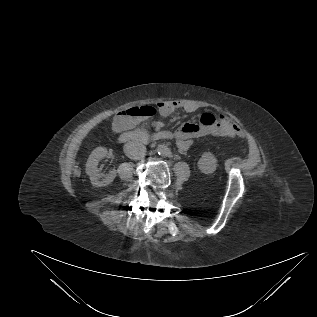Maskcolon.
<instances>
[{"label": "colon", "mask_w": 317, "mask_h": 317, "mask_svg": "<svg viewBox=\"0 0 317 317\" xmlns=\"http://www.w3.org/2000/svg\"><path fill=\"white\" fill-rule=\"evenodd\" d=\"M157 113V108L153 105L136 106L127 109L123 114L131 118L142 119L154 116Z\"/></svg>", "instance_id": "obj_1"}]
</instances>
